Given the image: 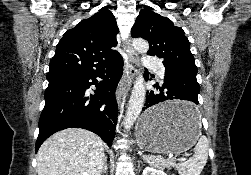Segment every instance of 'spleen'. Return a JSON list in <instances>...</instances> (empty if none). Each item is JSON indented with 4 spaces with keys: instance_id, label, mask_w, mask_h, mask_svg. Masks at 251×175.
<instances>
[{
    "instance_id": "spleen-1",
    "label": "spleen",
    "mask_w": 251,
    "mask_h": 175,
    "mask_svg": "<svg viewBox=\"0 0 251 175\" xmlns=\"http://www.w3.org/2000/svg\"><path fill=\"white\" fill-rule=\"evenodd\" d=\"M194 119H200L199 111H193ZM209 141L205 135H200L195 147L194 155L185 163H174L180 175H200L208 159Z\"/></svg>"
}]
</instances>
